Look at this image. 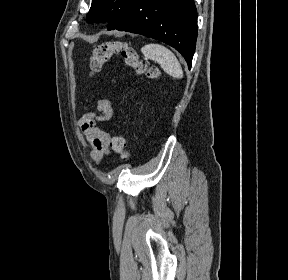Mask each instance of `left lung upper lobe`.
I'll list each match as a JSON object with an SVG mask.
<instances>
[{
  "instance_id": "obj_1",
  "label": "left lung upper lobe",
  "mask_w": 288,
  "mask_h": 280,
  "mask_svg": "<svg viewBox=\"0 0 288 280\" xmlns=\"http://www.w3.org/2000/svg\"><path fill=\"white\" fill-rule=\"evenodd\" d=\"M138 0H92L88 22H107L111 30Z\"/></svg>"
}]
</instances>
